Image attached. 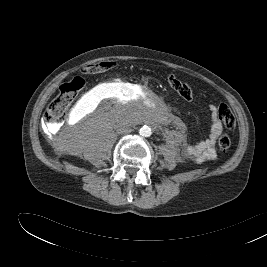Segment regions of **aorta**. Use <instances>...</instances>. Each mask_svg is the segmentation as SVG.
Returning a JSON list of instances; mask_svg holds the SVG:
<instances>
[{"label":"aorta","instance_id":"aorta-1","mask_svg":"<svg viewBox=\"0 0 267 267\" xmlns=\"http://www.w3.org/2000/svg\"><path fill=\"white\" fill-rule=\"evenodd\" d=\"M139 133L143 137H149L152 134V130L148 126H143V127L140 128Z\"/></svg>","mask_w":267,"mask_h":267}]
</instances>
